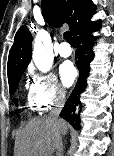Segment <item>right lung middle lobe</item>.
<instances>
[{
	"label": "right lung middle lobe",
	"mask_w": 114,
	"mask_h": 156,
	"mask_svg": "<svg viewBox=\"0 0 114 156\" xmlns=\"http://www.w3.org/2000/svg\"><path fill=\"white\" fill-rule=\"evenodd\" d=\"M21 76H22V74L14 76L8 80L9 81V90H10L11 95L17 90ZM15 103L17 104L16 100H15Z\"/></svg>",
	"instance_id": "obj_1"
}]
</instances>
